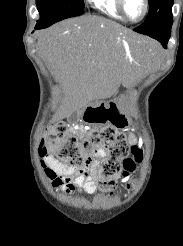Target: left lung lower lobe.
Wrapping results in <instances>:
<instances>
[{
  "instance_id": "left-lung-lower-lobe-1",
  "label": "left lung lower lobe",
  "mask_w": 183,
  "mask_h": 246,
  "mask_svg": "<svg viewBox=\"0 0 183 246\" xmlns=\"http://www.w3.org/2000/svg\"><path fill=\"white\" fill-rule=\"evenodd\" d=\"M170 35H171V28L162 30L160 32L149 34L148 36L158 40L162 44V46L166 49Z\"/></svg>"
}]
</instances>
